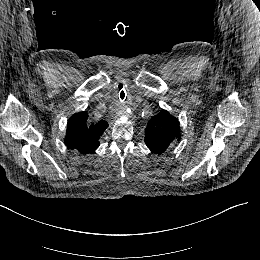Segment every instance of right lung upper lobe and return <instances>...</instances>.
Masks as SVG:
<instances>
[{
  "label": "right lung upper lobe",
  "instance_id": "cb5924a9",
  "mask_svg": "<svg viewBox=\"0 0 260 260\" xmlns=\"http://www.w3.org/2000/svg\"><path fill=\"white\" fill-rule=\"evenodd\" d=\"M107 127L108 123L104 120L89 124L88 113L79 112L68 121L65 144L81 154L92 153L99 147L98 140Z\"/></svg>",
  "mask_w": 260,
  "mask_h": 260
}]
</instances>
